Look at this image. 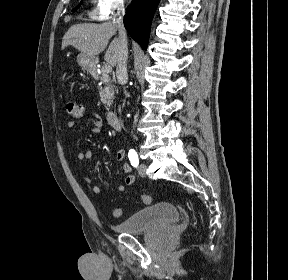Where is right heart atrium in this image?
Wrapping results in <instances>:
<instances>
[{"label": "right heart atrium", "mask_w": 288, "mask_h": 280, "mask_svg": "<svg viewBox=\"0 0 288 280\" xmlns=\"http://www.w3.org/2000/svg\"><path fill=\"white\" fill-rule=\"evenodd\" d=\"M124 7L125 0H95L92 14L97 20H109L114 14L122 11Z\"/></svg>", "instance_id": "d8ad5b80"}]
</instances>
